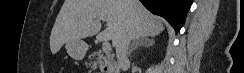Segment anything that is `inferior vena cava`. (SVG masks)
Masks as SVG:
<instances>
[{
    "label": "inferior vena cava",
    "instance_id": "inferior-vena-cava-1",
    "mask_svg": "<svg viewBox=\"0 0 244 73\" xmlns=\"http://www.w3.org/2000/svg\"><path fill=\"white\" fill-rule=\"evenodd\" d=\"M132 40L131 34L127 29L119 38L116 44V57L120 68L125 71L128 69L130 63L127 57L128 48Z\"/></svg>",
    "mask_w": 244,
    "mask_h": 73
}]
</instances>
